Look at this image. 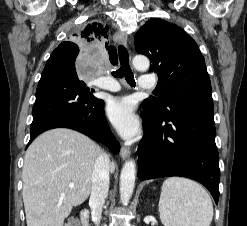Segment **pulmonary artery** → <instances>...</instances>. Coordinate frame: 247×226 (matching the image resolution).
<instances>
[{"mask_svg":"<svg viewBox=\"0 0 247 226\" xmlns=\"http://www.w3.org/2000/svg\"><path fill=\"white\" fill-rule=\"evenodd\" d=\"M99 87L112 91L117 92L120 90V85L117 81L110 79V78H104L100 81ZM156 87V80L151 76H142L139 79V88L143 90H151Z\"/></svg>","mask_w":247,"mask_h":226,"instance_id":"e3ab8cb5","label":"pulmonary artery"}]
</instances>
